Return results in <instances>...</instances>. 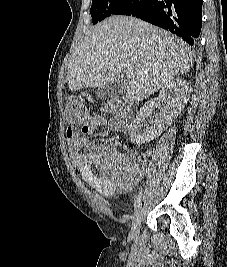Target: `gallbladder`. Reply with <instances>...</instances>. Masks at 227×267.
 <instances>
[{
	"instance_id": "obj_1",
	"label": "gallbladder",
	"mask_w": 227,
	"mask_h": 267,
	"mask_svg": "<svg viewBox=\"0 0 227 267\" xmlns=\"http://www.w3.org/2000/svg\"><path fill=\"white\" fill-rule=\"evenodd\" d=\"M120 84V81L118 79H115L112 82L99 87L96 91L97 98L107 99L111 97L120 90Z\"/></svg>"
}]
</instances>
